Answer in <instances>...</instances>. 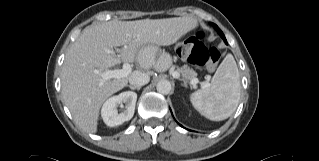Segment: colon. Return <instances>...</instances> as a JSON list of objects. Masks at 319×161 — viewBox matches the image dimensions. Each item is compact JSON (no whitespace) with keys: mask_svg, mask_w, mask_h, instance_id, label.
<instances>
[{"mask_svg":"<svg viewBox=\"0 0 319 161\" xmlns=\"http://www.w3.org/2000/svg\"><path fill=\"white\" fill-rule=\"evenodd\" d=\"M204 32L197 31L193 36L178 43L176 51L180 59L194 66L214 67L220 60L218 48L206 47L202 40Z\"/></svg>","mask_w":319,"mask_h":161,"instance_id":"1","label":"colon"}]
</instances>
